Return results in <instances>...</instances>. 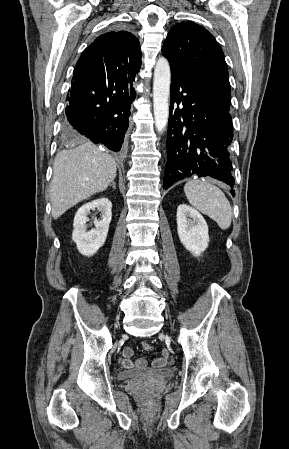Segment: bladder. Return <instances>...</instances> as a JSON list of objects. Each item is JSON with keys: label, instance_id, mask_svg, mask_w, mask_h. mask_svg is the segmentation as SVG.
I'll list each match as a JSON object with an SVG mask.
<instances>
[{"label": "bladder", "instance_id": "31cf9c89", "mask_svg": "<svg viewBox=\"0 0 289 449\" xmlns=\"http://www.w3.org/2000/svg\"><path fill=\"white\" fill-rule=\"evenodd\" d=\"M174 376V371L170 368L163 369H134L118 371L116 377L119 381H132L140 379L166 380Z\"/></svg>", "mask_w": 289, "mask_h": 449}]
</instances>
